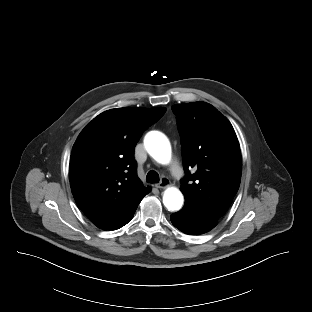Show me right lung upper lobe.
<instances>
[{"mask_svg": "<svg viewBox=\"0 0 312 312\" xmlns=\"http://www.w3.org/2000/svg\"><path fill=\"white\" fill-rule=\"evenodd\" d=\"M166 108H116L79 134L70 159V186L78 207L99 228H121L150 191L137 176L134 147Z\"/></svg>", "mask_w": 312, "mask_h": 312, "instance_id": "1", "label": "right lung upper lobe"}]
</instances>
